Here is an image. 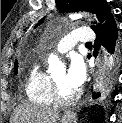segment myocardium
Listing matches in <instances>:
<instances>
[{"mask_svg": "<svg viewBox=\"0 0 122 123\" xmlns=\"http://www.w3.org/2000/svg\"><path fill=\"white\" fill-rule=\"evenodd\" d=\"M50 82H51V94L55 102L67 105L75 103L79 99L81 95L80 91H76L72 95L66 96L62 94L59 86L57 85V83L53 78H51Z\"/></svg>", "mask_w": 122, "mask_h": 123, "instance_id": "myocardium-1", "label": "myocardium"}]
</instances>
